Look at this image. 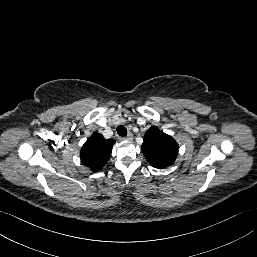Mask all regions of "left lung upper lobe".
Segmentation results:
<instances>
[{"label":"left lung upper lobe","mask_w":257,"mask_h":257,"mask_svg":"<svg viewBox=\"0 0 257 257\" xmlns=\"http://www.w3.org/2000/svg\"><path fill=\"white\" fill-rule=\"evenodd\" d=\"M141 150L151 166L163 169L175 162L178 144L158 127H151L145 133Z\"/></svg>","instance_id":"1"}]
</instances>
